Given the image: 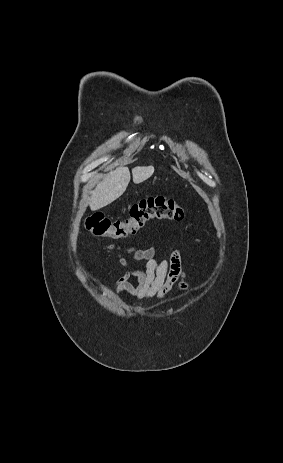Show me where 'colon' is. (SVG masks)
<instances>
[{
  "label": "colon",
  "instance_id": "colon-1",
  "mask_svg": "<svg viewBox=\"0 0 283 463\" xmlns=\"http://www.w3.org/2000/svg\"><path fill=\"white\" fill-rule=\"evenodd\" d=\"M184 209L164 196H149L135 203L125 219L111 220L94 214L86 219V229L95 236L123 239L134 235L153 220H181Z\"/></svg>",
  "mask_w": 283,
  "mask_h": 463
}]
</instances>
